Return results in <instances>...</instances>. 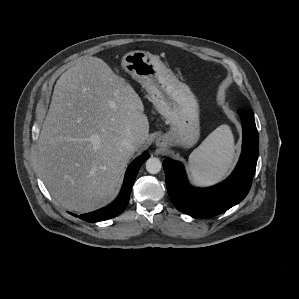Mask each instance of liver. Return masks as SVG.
<instances>
[{
	"label": "liver",
	"instance_id": "6515ba94",
	"mask_svg": "<svg viewBox=\"0 0 299 299\" xmlns=\"http://www.w3.org/2000/svg\"><path fill=\"white\" fill-rule=\"evenodd\" d=\"M149 122L131 85L100 58L86 57L57 80L37 143V168L51 195L80 213L114 192L146 142ZM135 139L134 151L122 148Z\"/></svg>",
	"mask_w": 299,
	"mask_h": 299
}]
</instances>
